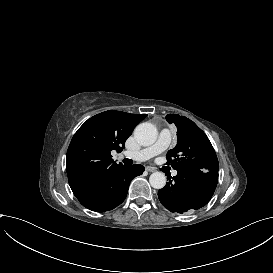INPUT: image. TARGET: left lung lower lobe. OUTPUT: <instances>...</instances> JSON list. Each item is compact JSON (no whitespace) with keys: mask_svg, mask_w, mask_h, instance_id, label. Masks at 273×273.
Segmentation results:
<instances>
[{"mask_svg":"<svg viewBox=\"0 0 273 273\" xmlns=\"http://www.w3.org/2000/svg\"><path fill=\"white\" fill-rule=\"evenodd\" d=\"M166 186L159 190L161 204L171 212L184 213L205 206L214 194L218 172L177 170Z\"/></svg>","mask_w":273,"mask_h":273,"instance_id":"left-lung-lower-lobe-1","label":"left lung lower lobe"}]
</instances>
